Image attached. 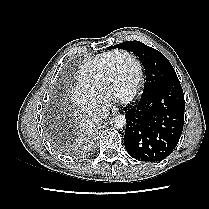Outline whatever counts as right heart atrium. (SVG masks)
<instances>
[{
    "instance_id": "d8ad5b80",
    "label": "right heart atrium",
    "mask_w": 209,
    "mask_h": 209,
    "mask_svg": "<svg viewBox=\"0 0 209 209\" xmlns=\"http://www.w3.org/2000/svg\"><path fill=\"white\" fill-rule=\"evenodd\" d=\"M72 101L83 112L88 114H97L105 108V99L97 94L89 92L79 86H76L71 92Z\"/></svg>"
}]
</instances>
